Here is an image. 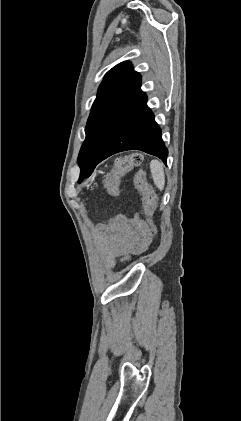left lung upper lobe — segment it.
Returning <instances> with one entry per match:
<instances>
[{
  "instance_id": "1",
  "label": "left lung upper lobe",
  "mask_w": 241,
  "mask_h": 421,
  "mask_svg": "<svg viewBox=\"0 0 241 421\" xmlns=\"http://www.w3.org/2000/svg\"><path fill=\"white\" fill-rule=\"evenodd\" d=\"M140 82V74L127 61L106 73L87 121L86 138L78 156L81 169L99 158Z\"/></svg>"
}]
</instances>
